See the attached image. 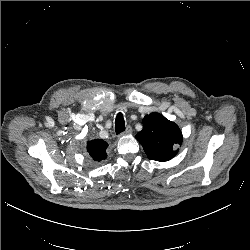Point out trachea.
<instances>
[{"instance_id": "obj_1", "label": "trachea", "mask_w": 250, "mask_h": 250, "mask_svg": "<svg viewBox=\"0 0 250 250\" xmlns=\"http://www.w3.org/2000/svg\"><path fill=\"white\" fill-rule=\"evenodd\" d=\"M115 131L116 134H120L121 132L125 131V121L121 112H119L116 116Z\"/></svg>"}]
</instances>
